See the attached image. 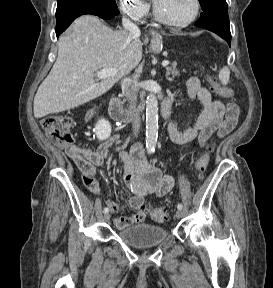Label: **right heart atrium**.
<instances>
[{
	"label": "right heart atrium",
	"mask_w": 273,
	"mask_h": 288,
	"mask_svg": "<svg viewBox=\"0 0 273 288\" xmlns=\"http://www.w3.org/2000/svg\"><path fill=\"white\" fill-rule=\"evenodd\" d=\"M118 4L122 13L134 21L142 20L149 11L141 0H118Z\"/></svg>",
	"instance_id": "obj_1"
}]
</instances>
